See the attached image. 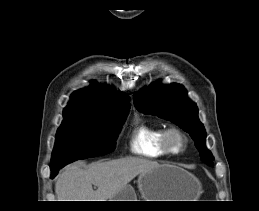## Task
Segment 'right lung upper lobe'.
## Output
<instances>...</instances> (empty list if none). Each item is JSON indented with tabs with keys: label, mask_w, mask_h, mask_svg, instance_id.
<instances>
[{
	"label": "right lung upper lobe",
	"mask_w": 259,
	"mask_h": 211,
	"mask_svg": "<svg viewBox=\"0 0 259 211\" xmlns=\"http://www.w3.org/2000/svg\"><path fill=\"white\" fill-rule=\"evenodd\" d=\"M130 98L114 91L110 87L99 86L95 83L86 89H81L71 95L63 115L74 112L90 114H120L128 113Z\"/></svg>",
	"instance_id": "1"
}]
</instances>
